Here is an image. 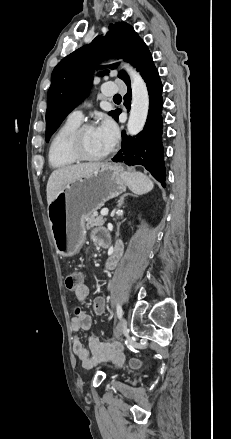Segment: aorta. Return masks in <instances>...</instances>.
Returning a JSON list of instances; mask_svg holds the SVG:
<instances>
[{"label": "aorta", "instance_id": "1", "mask_svg": "<svg viewBox=\"0 0 231 439\" xmlns=\"http://www.w3.org/2000/svg\"><path fill=\"white\" fill-rule=\"evenodd\" d=\"M122 65L131 80L132 101L127 131L129 135L134 136L143 130L146 123L149 110V95L146 83L140 74L129 64L123 62Z\"/></svg>", "mask_w": 231, "mask_h": 439}]
</instances>
